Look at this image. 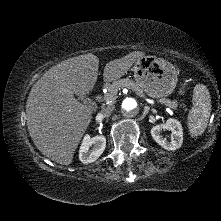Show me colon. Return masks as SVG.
<instances>
[{
    "mask_svg": "<svg viewBox=\"0 0 221 221\" xmlns=\"http://www.w3.org/2000/svg\"><path fill=\"white\" fill-rule=\"evenodd\" d=\"M179 95H180V103L182 105H185L186 101H185V86L182 85L179 89Z\"/></svg>",
    "mask_w": 221,
    "mask_h": 221,
    "instance_id": "1",
    "label": "colon"
}]
</instances>
